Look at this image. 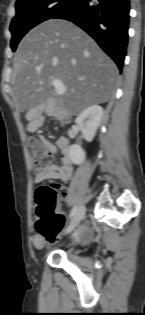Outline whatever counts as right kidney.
<instances>
[{
    "label": "right kidney",
    "mask_w": 145,
    "mask_h": 315,
    "mask_svg": "<svg viewBox=\"0 0 145 315\" xmlns=\"http://www.w3.org/2000/svg\"><path fill=\"white\" fill-rule=\"evenodd\" d=\"M103 108L99 105H91L83 110L75 120L78 128L81 130L84 139L91 142L96 134L103 118ZM71 161L80 165L85 160V152L80 145L74 144L69 148Z\"/></svg>",
    "instance_id": "right-kidney-1"
}]
</instances>
